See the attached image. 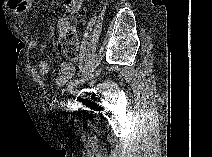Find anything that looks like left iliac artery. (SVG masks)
<instances>
[{"instance_id": "1", "label": "left iliac artery", "mask_w": 212, "mask_h": 157, "mask_svg": "<svg viewBox=\"0 0 212 157\" xmlns=\"http://www.w3.org/2000/svg\"><path fill=\"white\" fill-rule=\"evenodd\" d=\"M102 70V67H99L94 73L88 75V76H84L81 77L79 79H75L72 82H70L69 87H68V91H71L75 86H77L78 84L84 83L85 81L92 79L96 76H98L100 74Z\"/></svg>"}]
</instances>
